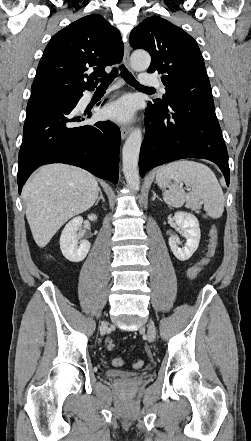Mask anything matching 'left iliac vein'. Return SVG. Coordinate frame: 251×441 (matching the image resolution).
<instances>
[{"instance_id": "obj_1", "label": "left iliac vein", "mask_w": 251, "mask_h": 441, "mask_svg": "<svg viewBox=\"0 0 251 441\" xmlns=\"http://www.w3.org/2000/svg\"><path fill=\"white\" fill-rule=\"evenodd\" d=\"M147 334H148V340L150 342H153L156 337V329H155V325L152 321H150L147 326Z\"/></svg>"}]
</instances>
